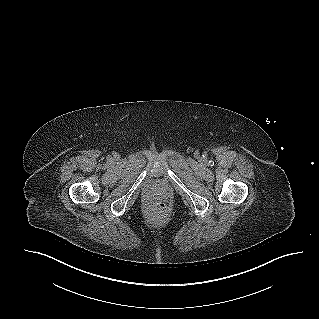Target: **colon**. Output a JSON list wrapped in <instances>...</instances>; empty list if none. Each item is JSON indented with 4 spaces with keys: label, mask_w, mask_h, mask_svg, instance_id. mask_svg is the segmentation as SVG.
<instances>
[{
    "label": "colon",
    "mask_w": 319,
    "mask_h": 319,
    "mask_svg": "<svg viewBox=\"0 0 319 319\" xmlns=\"http://www.w3.org/2000/svg\"><path fill=\"white\" fill-rule=\"evenodd\" d=\"M156 207H157L158 210H165L166 209V205L163 204V203H158L156 205Z\"/></svg>",
    "instance_id": "1"
}]
</instances>
